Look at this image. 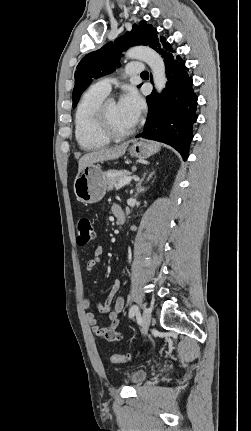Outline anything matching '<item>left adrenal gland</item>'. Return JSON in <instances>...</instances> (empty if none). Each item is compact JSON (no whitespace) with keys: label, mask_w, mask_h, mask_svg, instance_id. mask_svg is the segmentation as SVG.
<instances>
[{"label":"left adrenal gland","mask_w":251,"mask_h":431,"mask_svg":"<svg viewBox=\"0 0 251 431\" xmlns=\"http://www.w3.org/2000/svg\"><path fill=\"white\" fill-rule=\"evenodd\" d=\"M146 174L147 173H144V175H143V178L139 181V183L137 184V188H138V190H142V182H143V180L145 179V177H146ZM153 174H154V171L153 172H151L150 174H149V176L147 177V180L146 181H149L150 180V178L153 176Z\"/></svg>","instance_id":"1"}]
</instances>
